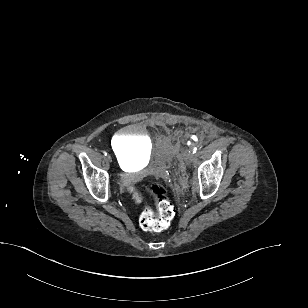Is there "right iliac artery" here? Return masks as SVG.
<instances>
[{
    "mask_svg": "<svg viewBox=\"0 0 308 308\" xmlns=\"http://www.w3.org/2000/svg\"><path fill=\"white\" fill-rule=\"evenodd\" d=\"M103 153H104L105 156L107 155V152L104 151Z\"/></svg>",
    "mask_w": 308,
    "mask_h": 308,
    "instance_id": "1",
    "label": "right iliac artery"
}]
</instances>
